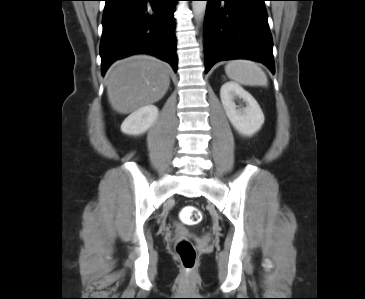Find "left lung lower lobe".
Returning a JSON list of instances; mask_svg holds the SVG:
<instances>
[{"label": "left lung lower lobe", "mask_w": 365, "mask_h": 299, "mask_svg": "<svg viewBox=\"0 0 365 299\" xmlns=\"http://www.w3.org/2000/svg\"><path fill=\"white\" fill-rule=\"evenodd\" d=\"M205 73L223 60L250 59L274 74L272 36L265 0H206Z\"/></svg>", "instance_id": "obj_1"}]
</instances>
